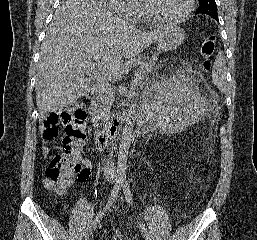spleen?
Returning a JSON list of instances; mask_svg holds the SVG:
<instances>
[{
	"label": "spleen",
	"instance_id": "1",
	"mask_svg": "<svg viewBox=\"0 0 257 240\" xmlns=\"http://www.w3.org/2000/svg\"><path fill=\"white\" fill-rule=\"evenodd\" d=\"M226 69V60L223 52H219L213 65L212 80L222 92L226 89ZM184 126L182 125V127Z\"/></svg>",
	"mask_w": 257,
	"mask_h": 240
}]
</instances>
